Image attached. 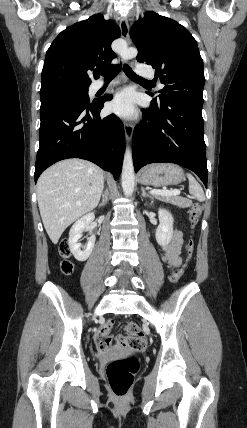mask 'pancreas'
Here are the masks:
<instances>
[{"mask_svg":"<svg viewBox=\"0 0 247 428\" xmlns=\"http://www.w3.org/2000/svg\"><path fill=\"white\" fill-rule=\"evenodd\" d=\"M155 197L163 202L173 204L180 208L190 207L192 202L189 199L179 197V196H163V195H155Z\"/></svg>","mask_w":247,"mask_h":428,"instance_id":"pancreas-1","label":"pancreas"}]
</instances>
